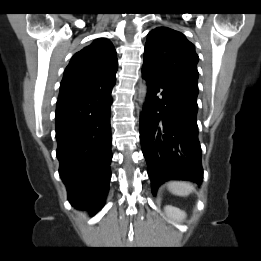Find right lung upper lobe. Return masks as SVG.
<instances>
[{
  "label": "right lung upper lobe",
  "instance_id": "cb5924a9",
  "mask_svg": "<svg viewBox=\"0 0 261 261\" xmlns=\"http://www.w3.org/2000/svg\"><path fill=\"white\" fill-rule=\"evenodd\" d=\"M116 51L106 38H98L74 54L66 67L58 98L103 90L115 85Z\"/></svg>",
  "mask_w": 261,
  "mask_h": 261
}]
</instances>
